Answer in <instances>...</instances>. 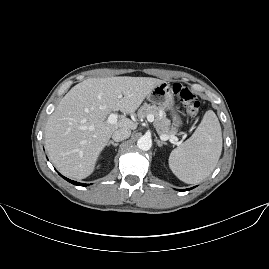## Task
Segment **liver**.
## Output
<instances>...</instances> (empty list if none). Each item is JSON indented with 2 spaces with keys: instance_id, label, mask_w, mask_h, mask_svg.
Returning <instances> with one entry per match:
<instances>
[{
  "instance_id": "obj_1",
  "label": "liver",
  "mask_w": 269,
  "mask_h": 269,
  "mask_svg": "<svg viewBox=\"0 0 269 269\" xmlns=\"http://www.w3.org/2000/svg\"><path fill=\"white\" fill-rule=\"evenodd\" d=\"M163 82L150 77L119 76L89 78L75 85L45 126V147L53 164L69 178L88 177L111 135L120 128H137V123L125 117L110 124L109 114L134 113Z\"/></svg>"
}]
</instances>
